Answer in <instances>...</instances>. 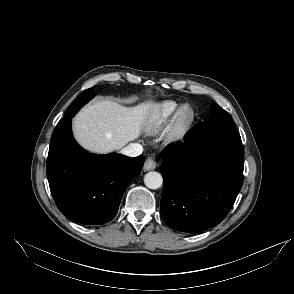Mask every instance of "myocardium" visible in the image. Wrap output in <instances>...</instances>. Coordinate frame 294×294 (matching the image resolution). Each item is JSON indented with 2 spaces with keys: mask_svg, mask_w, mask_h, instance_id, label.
<instances>
[{
  "mask_svg": "<svg viewBox=\"0 0 294 294\" xmlns=\"http://www.w3.org/2000/svg\"><path fill=\"white\" fill-rule=\"evenodd\" d=\"M195 119L194 109L185 104L176 112L165 134L168 144H176L184 139Z\"/></svg>",
  "mask_w": 294,
  "mask_h": 294,
  "instance_id": "f54148a6",
  "label": "myocardium"
}]
</instances>
